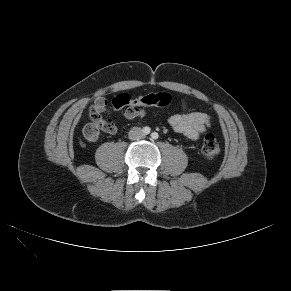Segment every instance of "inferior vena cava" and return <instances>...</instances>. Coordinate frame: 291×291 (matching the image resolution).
I'll return each instance as SVG.
<instances>
[{"instance_id": "inferior-vena-cava-1", "label": "inferior vena cava", "mask_w": 291, "mask_h": 291, "mask_svg": "<svg viewBox=\"0 0 291 291\" xmlns=\"http://www.w3.org/2000/svg\"><path fill=\"white\" fill-rule=\"evenodd\" d=\"M128 135H129V139H131V140H139V139L144 138V136H145L142 129L139 127L132 128L129 131Z\"/></svg>"}]
</instances>
